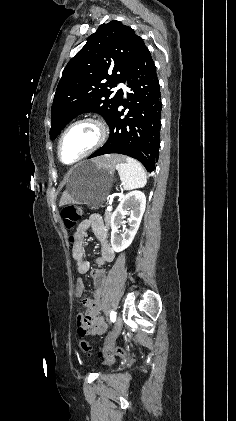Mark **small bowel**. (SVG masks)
<instances>
[{
  "label": "small bowel",
  "mask_w": 236,
  "mask_h": 421,
  "mask_svg": "<svg viewBox=\"0 0 236 421\" xmlns=\"http://www.w3.org/2000/svg\"><path fill=\"white\" fill-rule=\"evenodd\" d=\"M88 229H92L95 236L101 241L105 240L107 237V228L104 225L102 218L97 214L91 215L89 218L83 220L77 228V231L75 233V236L77 238V242L75 244V251H77L78 249H83V239ZM81 269L84 271L87 270V263H83ZM83 290V283L81 281L77 282L75 289L76 294L81 295L83 293ZM79 322H82V319H80ZM80 325H82V323H80ZM95 328L96 333L102 332L104 330L103 322L98 321Z\"/></svg>",
  "instance_id": "small-bowel-1"
}]
</instances>
